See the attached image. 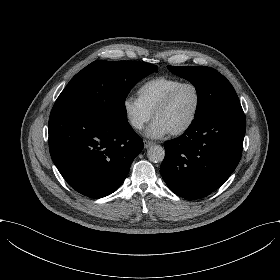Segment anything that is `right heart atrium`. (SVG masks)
<instances>
[{"label":"right heart atrium","instance_id":"obj_1","mask_svg":"<svg viewBox=\"0 0 280 280\" xmlns=\"http://www.w3.org/2000/svg\"><path fill=\"white\" fill-rule=\"evenodd\" d=\"M122 110L127 123L136 132L142 131L152 118V113L136 97L124 98Z\"/></svg>","mask_w":280,"mask_h":280}]
</instances>
